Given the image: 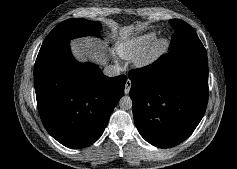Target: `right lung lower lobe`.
Masks as SVG:
<instances>
[{
    "label": "right lung lower lobe",
    "instance_id": "1",
    "mask_svg": "<svg viewBox=\"0 0 237 169\" xmlns=\"http://www.w3.org/2000/svg\"><path fill=\"white\" fill-rule=\"evenodd\" d=\"M126 79L125 75L107 77L96 65L77 62L69 40L43 43L34 67L43 125L64 146L91 145L123 96Z\"/></svg>",
    "mask_w": 237,
    "mask_h": 169
}]
</instances>
